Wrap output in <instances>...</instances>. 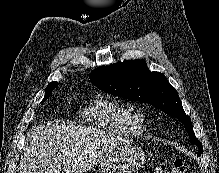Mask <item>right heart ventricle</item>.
<instances>
[{
    "label": "right heart ventricle",
    "instance_id": "1",
    "mask_svg": "<svg viewBox=\"0 0 219 173\" xmlns=\"http://www.w3.org/2000/svg\"><path fill=\"white\" fill-rule=\"evenodd\" d=\"M131 113L126 104L105 95H97L81 112L84 119L99 128L122 135H137L140 127Z\"/></svg>",
    "mask_w": 219,
    "mask_h": 173
}]
</instances>
